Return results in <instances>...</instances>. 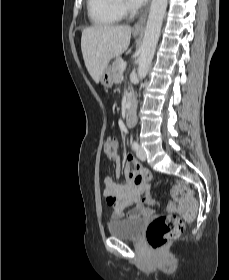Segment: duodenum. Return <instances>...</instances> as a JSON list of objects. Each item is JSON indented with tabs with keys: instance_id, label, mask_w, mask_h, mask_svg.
Instances as JSON below:
<instances>
[{
	"instance_id": "duodenum-1",
	"label": "duodenum",
	"mask_w": 229,
	"mask_h": 280,
	"mask_svg": "<svg viewBox=\"0 0 229 280\" xmlns=\"http://www.w3.org/2000/svg\"><path fill=\"white\" fill-rule=\"evenodd\" d=\"M135 106V99L131 97L127 102L125 110V123L128 127L132 126L135 123Z\"/></svg>"
}]
</instances>
